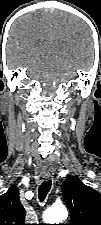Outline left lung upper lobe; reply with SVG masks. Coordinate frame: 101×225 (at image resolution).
Segmentation results:
<instances>
[{
    "label": "left lung upper lobe",
    "mask_w": 101,
    "mask_h": 225,
    "mask_svg": "<svg viewBox=\"0 0 101 225\" xmlns=\"http://www.w3.org/2000/svg\"><path fill=\"white\" fill-rule=\"evenodd\" d=\"M62 194L70 209L68 225H101V194L84 185L77 177L62 184Z\"/></svg>",
    "instance_id": "obj_1"
}]
</instances>
